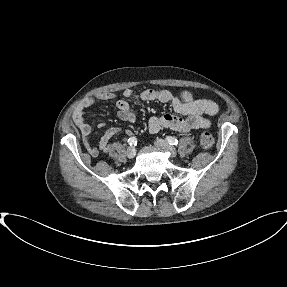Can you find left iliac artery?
<instances>
[{
	"label": "left iliac artery",
	"mask_w": 287,
	"mask_h": 287,
	"mask_svg": "<svg viewBox=\"0 0 287 287\" xmlns=\"http://www.w3.org/2000/svg\"><path fill=\"white\" fill-rule=\"evenodd\" d=\"M166 140L170 145H178V140L172 136H167Z\"/></svg>",
	"instance_id": "1"
}]
</instances>
